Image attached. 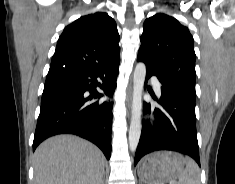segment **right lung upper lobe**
<instances>
[{
	"mask_svg": "<svg viewBox=\"0 0 235 184\" xmlns=\"http://www.w3.org/2000/svg\"><path fill=\"white\" fill-rule=\"evenodd\" d=\"M119 40L116 23L107 13L83 16L64 29L49 70L96 71L119 64Z\"/></svg>",
	"mask_w": 235,
	"mask_h": 184,
	"instance_id": "1",
	"label": "right lung upper lobe"
}]
</instances>
